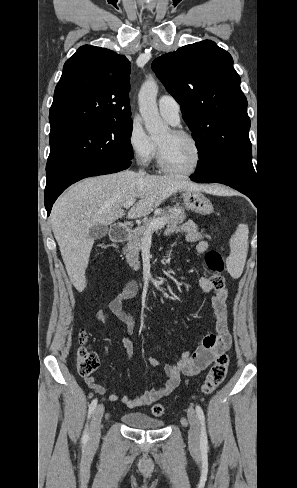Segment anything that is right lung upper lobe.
Masks as SVG:
<instances>
[{"label":"right lung upper lobe","mask_w":297,"mask_h":488,"mask_svg":"<svg viewBox=\"0 0 297 488\" xmlns=\"http://www.w3.org/2000/svg\"><path fill=\"white\" fill-rule=\"evenodd\" d=\"M130 62L109 49L84 45L66 61L49 111L50 134L89 123L131 119Z\"/></svg>","instance_id":"obj_1"}]
</instances>
